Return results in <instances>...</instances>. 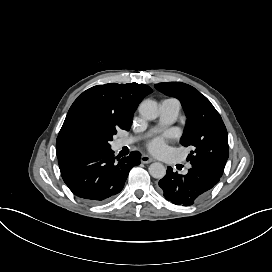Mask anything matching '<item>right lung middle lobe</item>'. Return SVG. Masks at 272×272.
<instances>
[{
	"mask_svg": "<svg viewBox=\"0 0 272 272\" xmlns=\"http://www.w3.org/2000/svg\"><path fill=\"white\" fill-rule=\"evenodd\" d=\"M114 134H116V131L100 132L91 130L86 137L84 150L110 148L109 142L112 141V136Z\"/></svg>",
	"mask_w": 272,
	"mask_h": 272,
	"instance_id": "1",
	"label": "right lung middle lobe"
}]
</instances>
